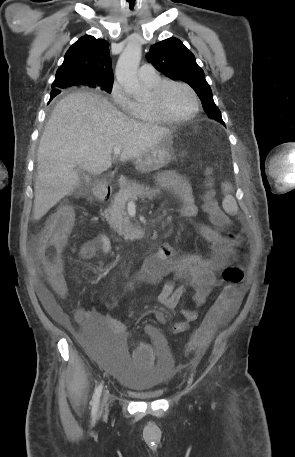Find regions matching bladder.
<instances>
[{"label":"bladder","mask_w":295,"mask_h":457,"mask_svg":"<svg viewBox=\"0 0 295 457\" xmlns=\"http://www.w3.org/2000/svg\"><path fill=\"white\" fill-rule=\"evenodd\" d=\"M126 344V338H81L83 356H92L98 365H104L123 387L143 398L161 397L173 375L171 347L156 345L153 366H132L133 356L127 352Z\"/></svg>","instance_id":"1"}]
</instances>
